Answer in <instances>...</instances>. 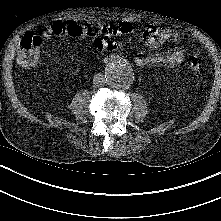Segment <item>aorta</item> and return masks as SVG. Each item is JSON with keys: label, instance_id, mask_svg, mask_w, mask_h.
Wrapping results in <instances>:
<instances>
[{"label": "aorta", "instance_id": "1", "mask_svg": "<svg viewBox=\"0 0 221 221\" xmlns=\"http://www.w3.org/2000/svg\"><path fill=\"white\" fill-rule=\"evenodd\" d=\"M105 77L113 90H127L133 84L134 73L129 63L124 59H115L107 64Z\"/></svg>", "mask_w": 221, "mask_h": 221}]
</instances>
